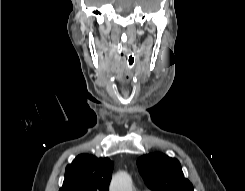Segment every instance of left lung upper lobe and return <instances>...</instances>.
Segmentation results:
<instances>
[{
  "label": "left lung upper lobe",
  "mask_w": 245,
  "mask_h": 191,
  "mask_svg": "<svg viewBox=\"0 0 245 191\" xmlns=\"http://www.w3.org/2000/svg\"><path fill=\"white\" fill-rule=\"evenodd\" d=\"M137 165L147 186L153 191H193V185L184 178L181 165L175 158L151 153L141 156Z\"/></svg>",
  "instance_id": "1"
}]
</instances>
